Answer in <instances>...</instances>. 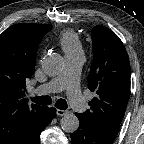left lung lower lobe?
<instances>
[{
  "mask_svg": "<svg viewBox=\"0 0 144 144\" xmlns=\"http://www.w3.org/2000/svg\"><path fill=\"white\" fill-rule=\"evenodd\" d=\"M76 115L79 119V127L71 134L72 144H113L116 135L100 131L79 114Z\"/></svg>",
  "mask_w": 144,
  "mask_h": 144,
  "instance_id": "obj_1",
  "label": "left lung lower lobe"
}]
</instances>
